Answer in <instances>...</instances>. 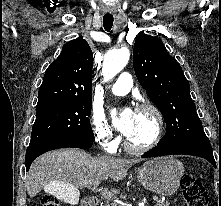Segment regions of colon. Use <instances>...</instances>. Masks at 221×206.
<instances>
[{
    "instance_id": "colon-1",
    "label": "colon",
    "mask_w": 221,
    "mask_h": 206,
    "mask_svg": "<svg viewBox=\"0 0 221 206\" xmlns=\"http://www.w3.org/2000/svg\"><path fill=\"white\" fill-rule=\"evenodd\" d=\"M187 206H208V195L202 182L192 174H184L181 181ZM41 206H61L57 199L44 196Z\"/></svg>"
}]
</instances>
